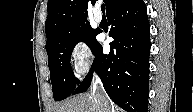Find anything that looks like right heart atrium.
<instances>
[{"instance_id": "1", "label": "right heart atrium", "mask_w": 193, "mask_h": 112, "mask_svg": "<svg viewBox=\"0 0 193 112\" xmlns=\"http://www.w3.org/2000/svg\"><path fill=\"white\" fill-rule=\"evenodd\" d=\"M69 60L73 72L78 76H83L90 70L93 56L85 37H78L71 43Z\"/></svg>"}]
</instances>
